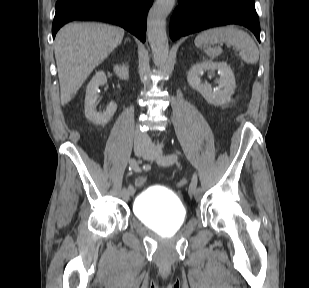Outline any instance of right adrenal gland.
Wrapping results in <instances>:
<instances>
[{
  "instance_id": "2a0ac1e0",
  "label": "right adrenal gland",
  "mask_w": 309,
  "mask_h": 288,
  "mask_svg": "<svg viewBox=\"0 0 309 288\" xmlns=\"http://www.w3.org/2000/svg\"><path fill=\"white\" fill-rule=\"evenodd\" d=\"M126 41H130V39H129V38H126L125 41H124V43H126Z\"/></svg>"
}]
</instances>
